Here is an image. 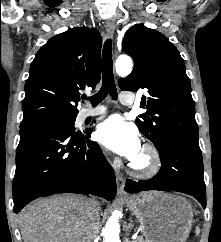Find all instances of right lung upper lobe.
Wrapping results in <instances>:
<instances>
[{
  "mask_svg": "<svg viewBox=\"0 0 221 242\" xmlns=\"http://www.w3.org/2000/svg\"><path fill=\"white\" fill-rule=\"evenodd\" d=\"M102 39L95 29L72 28L36 53L25 83L20 128L77 115L80 91L100 81Z\"/></svg>",
  "mask_w": 221,
  "mask_h": 242,
  "instance_id": "1",
  "label": "right lung upper lobe"
}]
</instances>
